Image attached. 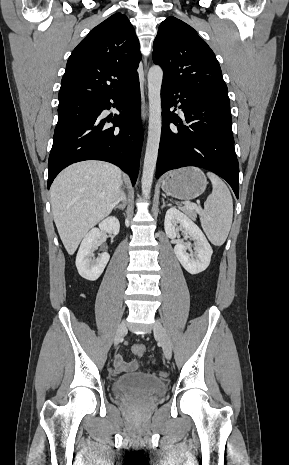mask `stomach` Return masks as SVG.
Instances as JSON below:
<instances>
[{
	"label": "stomach",
	"instance_id": "obj_1",
	"mask_svg": "<svg viewBox=\"0 0 289 465\" xmlns=\"http://www.w3.org/2000/svg\"><path fill=\"white\" fill-rule=\"evenodd\" d=\"M207 179L196 167L174 170L162 180V190L174 198L191 200L200 196L206 189Z\"/></svg>",
	"mask_w": 289,
	"mask_h": 465
}]
</instances>
